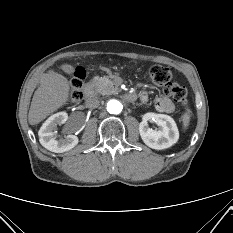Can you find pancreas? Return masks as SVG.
<instances>
[{"mask_svg":"<svg viewBox=\"0 0 233 233\" xmlns=\"http://www.w3.org/2000/svg\"><path fill=\"white\" fill-rule=\"evenodd\" d=\"M89 85L94 93H99L102 95H110L116 91L113 82L107 77L95 76Z\"/></svg>","mask_w":233,"mask_h":233,"instance_id":"pancreas-1","label":"pancreas"}]
</instances>
